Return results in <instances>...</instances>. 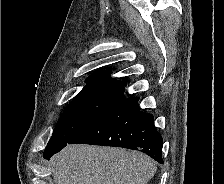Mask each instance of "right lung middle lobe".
<instances>
[{
  "mask_svg": "<svg viewBox=\"0 0 224 184\" xmlns=\"http://www.w3.org/2000/svg\"><path fill=\"white\" fill-rule=\"evenodd\" d=\"M124 91L115 84L86 85L65 108L46 149L65 144L99 121L125 98Z\"/></svg>",
  "mask_w": 224,
  "mask_h": 184,
  "instance_id": "1",
  "label": "right lung middle lobe"
}]
</instances>
